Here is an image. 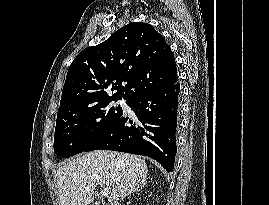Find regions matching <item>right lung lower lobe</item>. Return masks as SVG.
I'll use <instances>...</instances> for the list:
<instances>
[{
    "mask_svg": "<svg viewBox=\"0 0 269 205\" xmlns=\"http://www.w3.org/2000/svg\"><path fill=\"white\" fill-rule=\"evenodd\" d=\"M180 84L156 88L127 101L138 121L122 114L83 152L113 150L145 155L158 161L167 172L174 169L179 118Z\"/></svg>",
    "mask_w": 269,
    "mask_h": 205,
    "instance_id": "obj_1",
    "label": "right lung lower lobe"
}]
</instances>
